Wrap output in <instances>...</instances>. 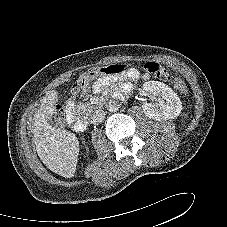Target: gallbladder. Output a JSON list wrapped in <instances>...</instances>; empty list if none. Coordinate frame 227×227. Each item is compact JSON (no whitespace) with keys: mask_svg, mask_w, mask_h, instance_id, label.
<instances>
[{"mask_svg":"<svg viewBox=\"0 0 227 227\" xmlns=\"http://www.w3.org/2000/svg\"><path fill=\"white\" fill-rule=\"evenodd\" d=\"M55 122L57 125H61V121L59 119H57Z\"/></svg>","mask_w":227,"mask_h":227,"instance_id":"1","label":"gallbladder"}]
</instances>
